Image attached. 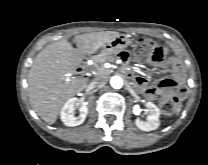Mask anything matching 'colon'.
<instances>
[{"mask_svg":"<svg viewBox=\"0 0 208 165\" xmlns=\"http://www.w3.org/2000/svg\"><path fill=\"white\" fill-rule=\"evenodd\" d=\"M134 56L140 60L150 59L155 63H159L163 58L168 57L165 47L148 38H141L137 42L134 48ZM183 94L184 91L176 92L174 95L162 99L159 102V108L162 113L166 115L172 114L178 107Z\"/></svg>","mask_w":208,"mask_h":165,"instance_id":"colon-1","label":"colon"}]
</instances>
